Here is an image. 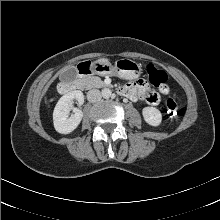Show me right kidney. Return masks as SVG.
<instances>
[{
	"label": "right kidney",
	"mask_w": 220,
	"mask_h": 220,
	"mask_svg": "<svg viewBox=\"0 0 220 220\" xmlns=\"http://www.w3.org/2000/svg\"><path fill=\"white\" fill-rule=\"evenodd\" d=\"M73 100L78 101V105L84 103V95L80 90L69 92L62 96L57 102L53 112L54 128L58 133L69 134L80 124L83 112L73 107ZM74 114L69 116L70 111Z\"/></svg>",
	"instance_id": "1"
}]
</instances>
